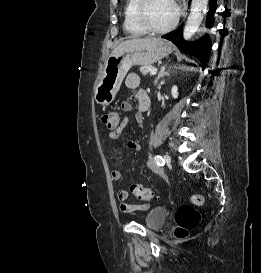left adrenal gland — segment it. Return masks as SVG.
<instances>
[{"label":"left adrenal gland","mask_w":261,"mask_h":273,"mask_svg":"<svg viewBox=\"0 0 261 273\" xmlns=\"http://www.w3.org/2000/svg\"><path fill=\"white\" fill-rule=\"evenodd\" d=\"M166 65L161 67V70L158 74V76L156 77L154 84L156 85L158 83V80L162 77H164L165 75H169V72L165 71Z\"/></svg>","instance_id":"a2214340"}]
</instances>
